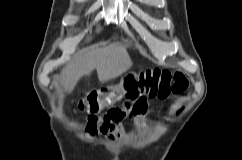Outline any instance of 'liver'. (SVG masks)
<instances>
[{
  "mask_svg": "<svg viewBox=\"0 0 242 160\" xmlns=\"http://www.w3.org/2000/svg\"><path fill=\"white\" fill-rule=\"evenodd\" d=\"M132 66L125 47L111 44L76 56L62 70L60 82L64 90L71 93L78 81L96 69L98 79L105 83L115 79Z\"/></svg>",
  "mask_w": 242,
  "mask_h": 160,
  "instance_id": "obj_1",
  "label": "liver"
}]
</instances>
